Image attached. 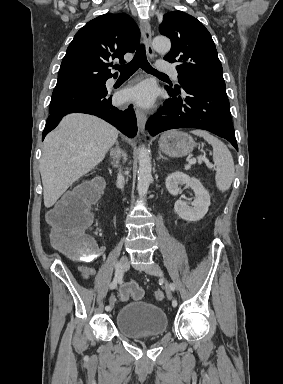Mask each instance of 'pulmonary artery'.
Here are the masks:
<instances>
[{
    "label": "pulmonary artery",
    "instance_id": "e3ab8cb5",
    "mask_svg": "<svg viewBox=\"0 0 283 384\" xmlns=\"http://www.w3.org/2000/svg\"><path fill=\"white\" fill-rule=\"evenodd\" d=\"M159 71H165L166 75L179 76L178 69L173 67V64H169L168 61H161L158 65ZM115 82L114 78H110L107 80V86L113 85Z\"/></svg>",
    "mask_w": 283,
    "mask_h": 384
}]
</instances>
